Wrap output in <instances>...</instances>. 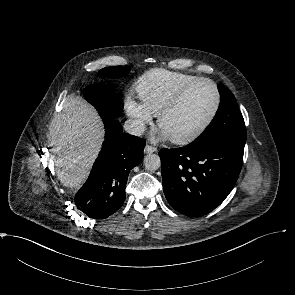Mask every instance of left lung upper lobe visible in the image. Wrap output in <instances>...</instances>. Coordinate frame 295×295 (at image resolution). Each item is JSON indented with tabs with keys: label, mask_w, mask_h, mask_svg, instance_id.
I'll use <instances>...</instances> for the list:
<instances>
[{
	"label": "left lung upper lobe",
	"mask_w": 295,
	"mask_h": 295,
	"mask_svg": "<svg viewBox=\"0 0 295 295\" xmlns=\"http://www.w3.org/2000/svg\"><path fill=\"white\" fill-rule=\"evenodd\" d=\"M218 90L221 102L215 118L207 129L190 145L197 146L210 142H224L244 149L246 128L236 99L224 84L219 83Z\"/></svg>",
	"instance_id": "5c2ea615"
}]
</instances>
